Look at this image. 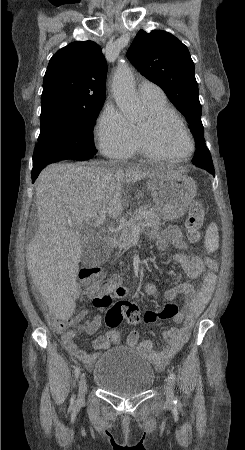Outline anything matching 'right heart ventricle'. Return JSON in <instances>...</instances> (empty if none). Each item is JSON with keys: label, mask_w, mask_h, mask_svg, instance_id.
<instances>
[{"label": "right heart ventricle", "mask_w": 245, "mask_h": 450, "mask_svg": "<svg viewBox=\"0 0 245 450\" xmlns=\"http://www.w3.org/2000/svg\"><path fill=\"white\" fill-rule=\"evenodd\" d=\"M147 109L149 110L150 114L158 113L161 111H169L175 114L179 119V115L177 112L167 103L165 99L160 101H153V102H147L144 103ZM136 134H137V150H142L140 137H139V128H135Z\"/></svg>", "instance_id": "1"}]
</instances>
